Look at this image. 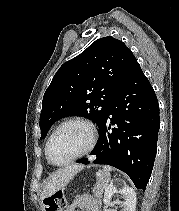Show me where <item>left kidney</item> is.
Instances as JSON below:
<instances>
[{
	"mask_svg": "<svg viewBox=\"0 0 179 211\" xmlns=\"http://www.w3.org/2000/svg\"><path fill=\"white\" fill-rule=\"evenodd\" d=\"M116 194L123 195L124 201H113L112 198ZM104 203L108 206L120 205L123 207L122 211H136V193L128 186H120L119 184H109L105 188Z\"/></svg>",
	"mask_w": 179,
	"mask_h": 211,
	"instance_id": "left-kidney-1",
	"label": "left kidney"
}]
</instances>
